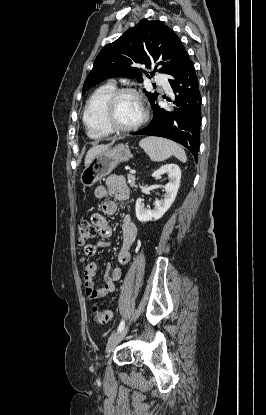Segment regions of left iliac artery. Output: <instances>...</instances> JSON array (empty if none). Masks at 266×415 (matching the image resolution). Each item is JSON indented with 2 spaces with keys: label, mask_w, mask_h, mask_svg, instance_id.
Masks as SVG:
<instances>
[{
  "label": "left iliac artery",
  "mask_w": 266,
  "mask_h": 415,
  "mask_svg": "<svg viewBox=\"0 0 266 415\" xmlns=\"http://www.w3.org/2000/svg\"><path fill=\"white\" fill-rule=\"evenodd\" d=\"M124 325H125L124 320H121V322H120V324H119V326L117 328V332L121 331L124 328Z\"/></svg>",
  "instance_id": "44dca946"
}]
</instances>
